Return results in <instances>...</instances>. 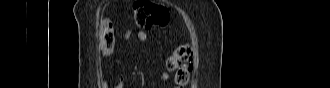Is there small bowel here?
I'll use <instances>...</instances> for the list:
<instances>
[{
  "label": "small bowel",
  "instance_id": "1",
  "mask_svg": "<svg viewBox=\"0 0 330 88\" xmlns=\"http://www.w3.org/2000/svg\"><path fill=\"white\" fill-rule=\"evenodd\" d=\"M105 24L106 23H104L103 25H105ZM130 35H131V30H127L126 33H125V35H124V38L125 39H128L130 37ZM148 37L149 36H148L147 32H145V31H139L137 33V35H136V40L139 43H144V42H146L148 40ZM123 87H124L123 83H120L119 88H123Z\"/></svg>",
  "mask_w": 330,
  "mask_h": 88
}]
</instances>
